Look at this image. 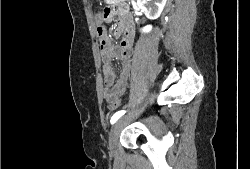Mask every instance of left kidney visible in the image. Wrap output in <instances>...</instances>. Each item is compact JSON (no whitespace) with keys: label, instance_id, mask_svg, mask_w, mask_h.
Wrapping results in <instances>:
<instances>
[{"label":"left kidney","instance_id":"left-kidney-1","mask_svg":"<svg viewBox=\"0 0 250 169\" xmlns=\"http://www.w3.org/2000/svg\"><path fill=\"white\" fill-rule=\"evenodd\" d=\"M137 4L147 18H158L166 4V0H137ZM150 30H152V24H147V26L141 28V32H150Z\"/></svg>","mask_w":250,"mask_h":169}]
</instances>
